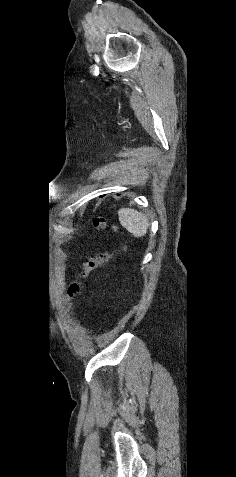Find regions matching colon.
I'll return each mask as SVG.
<instances>
[{"label": "colon", "mask_w": 236, "mask_h": 477, "mask_svg": "<svg viewBox=\"0 0 236 477\" xmlns=\"http://www.w3.org/2000/svg\"><path fill=\"white\" fill-rule=\"evenodd\" d=\"M94 225L98 229H104L106 222L103 218H97ZM110 260V256L106 253H100L83 263L76 278L71 282L68 293L71 297L76 296L82 287V280L89 275L93 270L103 266Z\"/></svg>", "instance_id": "1"}]
</instances>
